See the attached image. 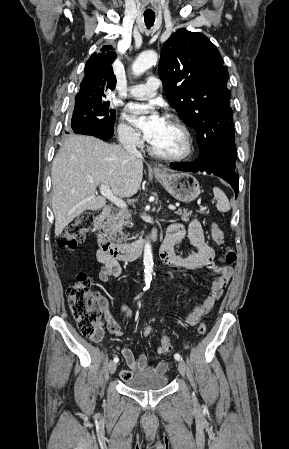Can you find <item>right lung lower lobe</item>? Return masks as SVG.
I'll list each match as a JSON object with an SVG mask.
<instances>
[{
    "label": "right lung lower lobe",
    "mask_w": 289,
    "mask_h": 449,
    "mask_svg": "<svg viewBox=\"0 0 289 449\" xmlns=\"http://www.w3.org/2000/svg\"><path fill=\"white\" fill-rule=\"evenodd\" d=\"M75 133L83 134V135H92V136L98 137L102 140H108L113 135V131H105V130L96 128L90 124H81L75 130Z\"/></svg>",
    "instance_id": "98d812e1"
}]
</instances>
